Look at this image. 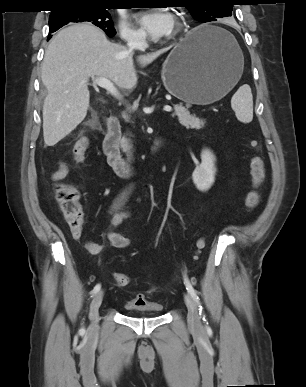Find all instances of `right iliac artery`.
<instances>
[{
    "label": "right iliac artery",
    "instance_id": "1",
    "mask_svg": "<svg viewBox=\"0 0 306 387\" xmlns=\"http://www.w3.org/2000/svg\"><path fill=\"white\" fill-rule=\"evenodd\" d=\"M100 288H101V285L100 284H97L95 287H94V289L92 290V296H94L95 294H97L98 292H99V290H100Z\"/></svg>",
    "mask_w": 306,
    "mask_h": 387
}]
</instances>
